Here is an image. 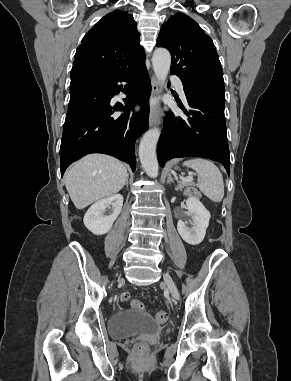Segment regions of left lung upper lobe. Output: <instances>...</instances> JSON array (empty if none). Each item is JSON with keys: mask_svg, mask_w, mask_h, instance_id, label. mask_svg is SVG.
I'll return each mask as SVG.
<instances>
[{"mask_svg": "<svg viewBox=\"0 0 291 381\" xmlns=\"http://www.w3.org/2000/svg\"><path fill=\"white\" fill-rule=\"evenodd\" d=\"M157 46L171 53V73L184 88L225 95L223 71L212 39L189 16L176 13L162 25Z\"/></svg>", "mask_w": 291, "mask_h": 381, "instance_id": "left-lung-upper-lobe-1", "label": "left lung upper lobe"}]
</instances>
